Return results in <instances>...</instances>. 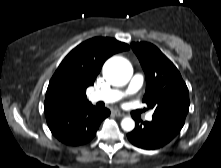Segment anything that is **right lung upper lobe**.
Here are the masks:
<instances>
[{
    "label": "right lung upper lobe",
    "mask_w": 221,
    "mask_h": 168,
    "mask_svg": "<svg viewBox=\"0 0 221 168\" xmlns=\"http://www.w3.org/2000/svg\"><path fill=\"white\" fill-rule=\"evenodd\" d=\"M129 46L112 38L95 37L74 48L51 78L44 103L45 113L89 104L87 87L94 84L103 63Z\"/></svg>",
    "instance_id": "cb5924a9"
}]
</instances>
